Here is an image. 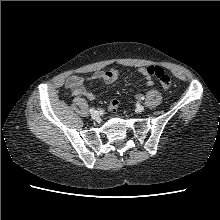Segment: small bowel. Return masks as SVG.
Listing matches in <instances>:
<instances>
[{"label": "small bowel", "mask_w": 220, "mask_h": 220, "mask_svg": "<svg viewBox=\"0 0 220 220\" xmlns=\"http://www.w3.org/2000/svg\"><path fill=\"white\" fill-rule=\"evenodd\" d=\"M139 73L145 78L147 85H152V76L148 74L147 67H142L139 69ZM118 78V71L116 69H109L105 71H95L89 78H85L79 75H71L67 78L65 82V87L69 89L74 96H83L88 100H94L95 94L86 89L84 86L87 80H103L106 83H113Z\"/></svg>", "instance_id": "c3829d8e"}]
</instances>
